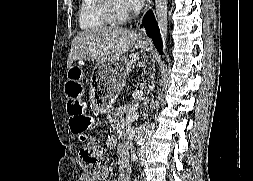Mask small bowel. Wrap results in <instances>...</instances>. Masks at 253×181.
I'll list each match as a JSON object with an SVG mask.
<instances>
[{
    "label": "small bowel",
    "mask_w": 253,
    "mask_h": 181,
    "mask_svg": "<svg viewBox=\"0 0 253 181\" xmlns=\"http://www.w3.org/2000/svg\"><path fill=\"white\" fill-rule=\"evenodd\" d=\"M121 117V109H115L110 113V118L112 120H117ZM106 145L108 147H113L115 145V137L113 135H108L106 137ZM112 171L111 166H106L100 172L95 175L83 174L80 177V181H102L105 180L109 173ZM130 179V168L128 163V158L125 153H123L117 163V173L113 181H129Z\"/></svg>",
    "instance_id": "1"
}]
</instances>
